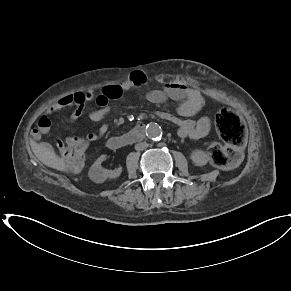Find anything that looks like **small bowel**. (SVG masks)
<instances>
[{"label": "small bowel", "mask_w": 291, "mask_h": 291, "mask_svg": "<svg viewBox=\"0 0 291 291\" xmlns=\"http://www.w3.org/2000/svg\"><path fill=\"white\" fill-rule=\"evenodd\" d=\"M147 80L148 77L144 72L134 71L125 81L121 83L107 84L100 92L90 89L87 91H78L72 95L73 104H75L76 108L69 117L70 122L76 121L83 115L86 102L93 101L99 108L92 111L89 114V118L93 122L101 124L99 130L95 133L67 137L65 139L66 144L68 145L74 138H81L86 142V144L104 138L109 130L108 123L104 121L110 110L108 106L109 102L111 100L120 99L124 93L144 85ZM146 98L153 104H162L169 98L181 101L178 107L177 116L169 114L166 111H161L159 113V118L161 120L170 121L178 127V135L180 137L200 139L208 134L211 126L209 117L204 116L197 121L191 119V117L201 109L204 103L203 97L197 89L172 82L168 84L164 90L153 89L149 91ZM61 101L62 99L48 108V110L39 118L37 128L32 131L34 146L39 151L48 150V146L41 142V138L43 135H47L50 132V115L67 107L63 106ZM56 146L60 152L65 149V144L61 140H57Z\"/></svg>", "instance_id": "small-bowel-1"}]
</instances>
